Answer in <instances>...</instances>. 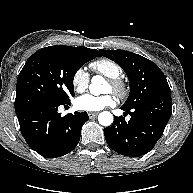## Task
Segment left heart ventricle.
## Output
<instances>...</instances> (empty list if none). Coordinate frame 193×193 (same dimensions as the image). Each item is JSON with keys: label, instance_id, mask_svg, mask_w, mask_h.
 <instances>
[{"label": "left heart ventricle", "instance_id": "obj_1", "mask_svg": "<svg viewBox=\"0 0 193 193\" xmlns=\"http://www.w3.org/2000/svg\"><path fill=\"white\" fill-rule=\"evenodd\" d=\"M111 91V86L109 83H107L106 88H105V92H110Z\"/></svg>", "mask_w": 193, "mask_h": 193}]
</instances>
